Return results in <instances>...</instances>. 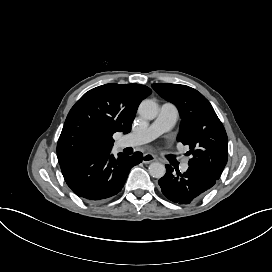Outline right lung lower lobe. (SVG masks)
<instances>
[{"label":"right lung lower lobe","instance_id":"right-lung-lower-lobe-1","mask_svg":"<svg viewBox=\"0 0 272 272\" xmlns=\"http://www.w3.org/2000/svg\"><path fill=\"white\" fill-rule=\"evenodd\" d=\"M142 154L132 156L111 151L80 155L60 163L70 189L89 202L106 201L121 191L130 169L141 162Z\"/></svg>","mask_w":272,"mask_h":272}]
</instances>
